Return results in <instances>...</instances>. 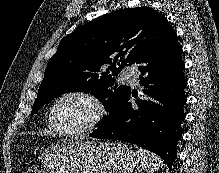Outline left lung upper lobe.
I'll return each instance as SVG.
<instances>
[{"mask_svg":"<svg viewBox=\"0 0 219 173\" xmlns=\"http://www.w3.org/2000/svg\"><path fill=\"white\" fill-rule=\"evenodd\" d=\"M173 31L164 15L148 7L115 11L84 24L60 42L49 60L31 113L64 93L90 91L109 112L102 125L130 92L113 76Z\"/></svg>","mask_w":219,"mask_h":173,"instance_id":"left-lung-upper-lobe-1","label":"left lung upper lobe"}]
</instances>
